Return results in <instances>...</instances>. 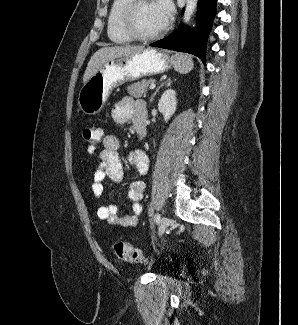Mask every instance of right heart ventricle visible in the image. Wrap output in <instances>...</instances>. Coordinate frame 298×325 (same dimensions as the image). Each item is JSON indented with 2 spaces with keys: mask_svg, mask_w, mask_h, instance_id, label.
<instances>
[{
  "mask_svg": "<svg viewBox=\"0 0 298 325\" xmlns=\"http://www.w3.org/2000/svg\"><path fill=\"white\" fill-rule=\"evenodd\" d=\"M128 0H116L112 3L106 22L107 37L111 44L116 46H126L131 43V39L123 34L119 27V17L121 11Z\"/></svg>",
  "mask_w": 298,
  "mask_h": 325,
  "instance_id": "right-heart-ventricle-1",
  "label": "right heart ventricle"
}]
</instances>
